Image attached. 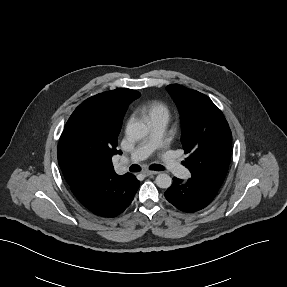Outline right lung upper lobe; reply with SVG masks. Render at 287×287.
Instances as JSON below:
<instances>
[{
  "instance_id": "right-lung-upper-lobe-1",
  "label": "right lung upper lobe",
  "mask_w": 287,
  "mask_h": 287,
  "mask_svg": "<svg viewBox=\"0 0 287 287\" xmlns=\"http://www.w3.org/2000/svg\"><path fill=\"white\" fill-rule=\"evenodd\" d=\"M139 96L138 91L118 88L92 96L76 108L88 123L89 136L107 147L110 152V159H105L102 162L92 180L63 173L70 187L117 175L112 165V156L121 153L116 147L123 116L128 105Z\"/></svg>"
}]
</instances>
